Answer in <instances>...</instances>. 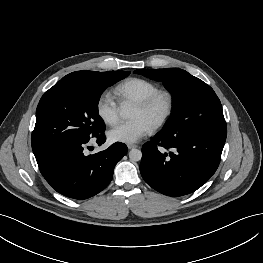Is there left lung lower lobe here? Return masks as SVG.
Returning <instances> with one entry per match:
<instances>
[{
    "label": "left lung lower lobe",
    "mask_w": 263,
    "mask_h": 263,
    "mask_svg": "<svg viewBox=\"0 0 263 263\" xmlns=\"http://www.w3.org/2000/svg\"><path fill=\"white\" fill-rule=\"evenodd\" d=\"M226 136L227 130L186 135L158 133L142 147L141 175L162 194L178 197L192 193L218 168ZM159 147L171 151L164 153Z\"/></svg>",
    "instance_id": "left-lung-lower-lobe-1"
}]
</instances>
